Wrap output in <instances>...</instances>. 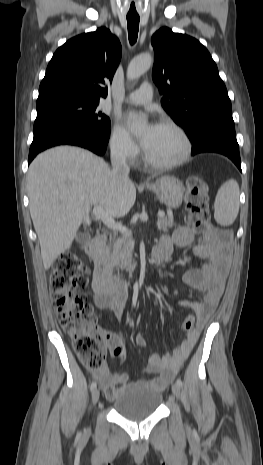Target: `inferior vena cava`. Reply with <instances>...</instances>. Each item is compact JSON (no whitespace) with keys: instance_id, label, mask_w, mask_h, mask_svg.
<instances>
[{"instance_id":"602c4592","label":"inferior vena cava","mask_w":263,"mask_h":465,"mask_svg":"<svg viewBox=\"0 0 263 465\" xmlns=\"http://www.w3.org/2000/svg\"><path fill=\"white\" fill-rule=\"evenodd\" d=\"M112 175L120 181L129 180V166L126 163V152L123 148L111 150Z\"/></svg>"}]
</instances>
